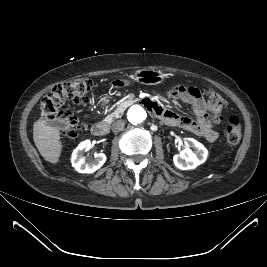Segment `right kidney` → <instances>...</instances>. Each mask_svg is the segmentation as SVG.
Masks as SVG:
<instances>
[{
  "instance_id": "ca27d5eb",
  "label": "right kidney",
  "mask_w": 267,
  "mask_h": 267,
  "mask_svg": "<svg viewBox=\"0 0 267 267\" xmlns=\"http://www.w3.org/2000/svg\"><path fill=\"white\" fill-rule=\"evenodd\" d=\"M91 147H92L91 141L85 140L81 142L72 153V158H71L72 166L79 173H87V174L93 173L99 168H101L106 161V155L103 153H99L95 154L94 160L86 162L83 154L85 151L90 150Z\"/></svg>"
}]
</instances>
